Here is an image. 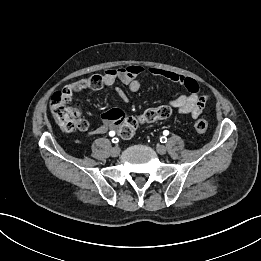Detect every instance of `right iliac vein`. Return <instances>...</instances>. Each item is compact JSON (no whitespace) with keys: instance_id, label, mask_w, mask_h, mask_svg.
I'll return each mask as SVG.
<instances>
[{"instance_id":"63e3f726","label":"right iliac vein","mask_w":261,"mask_h":261,"mask_svg":"<svg viewBox=\"0 0 261 261\" xmlns=\"http://www.w3.org/2000/svg\"><path fill=\"white\" fill-rule=\"evenodd\" d=\"M112 157H117L120 154V148L119 147H113L110 151Z\"/></svg>"}]
</instances>
